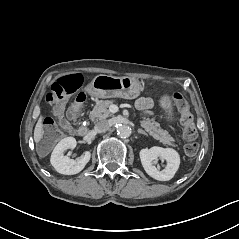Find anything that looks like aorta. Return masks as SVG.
I'll return each mask as SVG.
<instances>
[{"instance_id": "762f6f07", "label": "aorta", "mask_w": 239, "mask_h": 239, "mask_svg": "<svg viewBox=\"0 0 239 239\" xmlns=\"http://www.w3.org/2000/svg\"><path fill=\"white\" fill-rule=\"evenodd\" d=\"M117 134L121 138H127L131 135V128L127 125H122L117 128Z\"/></svg>"}]
</instances>
